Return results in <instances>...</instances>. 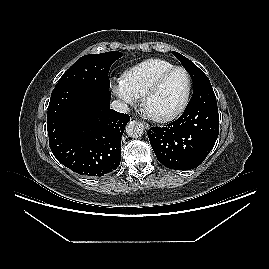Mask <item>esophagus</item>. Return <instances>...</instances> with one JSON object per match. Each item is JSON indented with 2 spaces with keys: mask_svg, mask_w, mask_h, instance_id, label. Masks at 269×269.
Returning a JSON list of instances; mask_svg holds the SVG:
<instances>
[{
  "mask_svg": "<svg viewBox=\"0 0 269 269\" xmlns=\"http://www.w3.org/2000/svg\"><path fill=\"white\" fill-rule=\"evenodd\" d=\"M141 123L144 125V127L146 128V129H149V124L148 123H146V122H144V121H141Z\"/></svg>",
  "mask_w": 269,
  "mask_h": 269,
  "instance_id": "34e87169",
  "label": "esophagus"
}]
</instances>
